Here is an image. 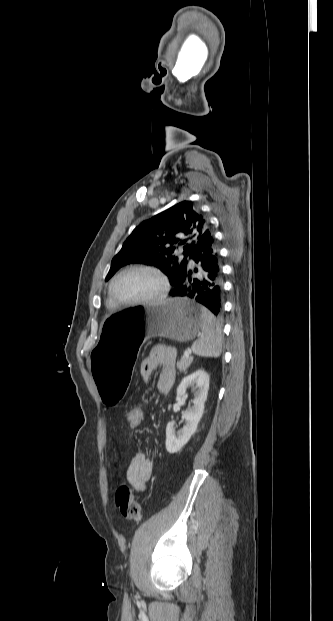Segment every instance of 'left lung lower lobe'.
Here are the masks:
<instances>
[{"label":"left lung lower lobe","mask_w":333,"mask_h":621,"mask_svg":"<svg viewBox=\"0 0 333 621\" xmlns=\"http://www.w3.org/2000/svg\"><path fill=\"white\" fill-rule=\"evenodd\" d=\"M222 285L220 254L208 228L189 254L186 268L179 273L169 295L191 298L213 314L220 315L223 310Z\"/></svg>","instance_id":"1"}]
</instances>
